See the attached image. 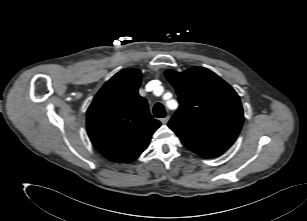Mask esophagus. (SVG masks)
<instances>
[{"label": "esophagus", "instance_id": "obj_1", "mask_svg": "<svg viewBox=\"0 0 307 221\" xmlns=\"http://www.w3.org/2000/svg\"><path fill=\"white\" fill-rule=\"evenodd\" d=\"M169 119H170V117L167 115L166 117H164V118L161 119V123H162V124H167L168 121H169Z\"/></svg>", "mask_w": 307, "mask_h": 221}]
</instances>
